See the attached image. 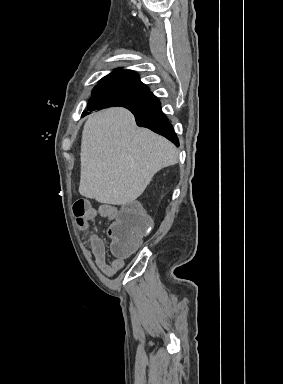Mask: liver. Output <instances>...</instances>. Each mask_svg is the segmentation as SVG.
<instances>
[{
    "label": "liver",
    "mask_w": 283,
    "mask_h": 384,
    "mask_svg": "<svg viewBox=\"0 0 283 384\" xmlns=\"http://www.w3.org/2000/svg\"><path fill=\"white\" fill-rule=\"evenodd\" d=\"M178 154L166 138L137 128L125 108L94 112L82 132L79 192L100 204H130L159 170L177 164Z\"/></svg>",
    "instance_id": "liver-1"
}]
</instances>
